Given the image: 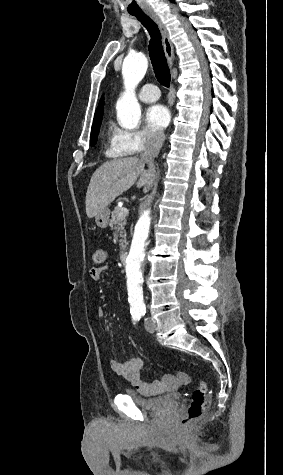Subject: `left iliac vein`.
Wrapping results in <instances>:
<instances>
[{"label": "left iliac vein", "instance_id": "left-iliac-vein-1", "mask_svg": "<svg viewBox=\"0 0 283 475\" xmlns=\"http://www.w3.org/2000/svg\"><path fill=\"white\" fill-rule=\"evenodd\" d=\"M145 329L151 333L156 331V324L150 319L145 320Z\"/></svg>", "mask_w": 283, "mask_h": 475}]
</instances>
